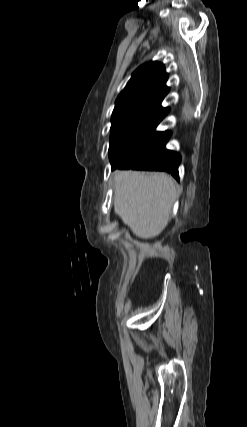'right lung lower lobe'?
Segmentation results:
<instances>
[{"instance_id": "right-lung-lower-lobe-1", "label": "right lung lower lobe", "mask_w": 247, "mask_h": 427, "mask_svg": "<svg viewBox=\"0 0 247 427\" xmlns=\"http://www.w3.org/2000/svg\"><path fill=\"white\" fill-rule=\"evenodd\" d=\"M168 111V108H161L135 127L111 159L112 169L167 171L179 178L181 156L165 149L171 133L155 131Z\"/></svg>"}]
</instances>
